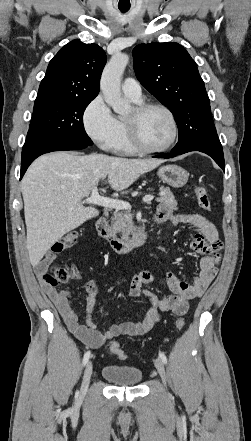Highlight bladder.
Here are the masks:
<instances>
[{
    "mask_svg": "<svg viewBox=\"0 0 251 441\" xmlns=\"http://www.w3.org/2000/svg\"><path fill=\"white\" fill-rule=\"evenodd\" d=\"M101 375L117 386H136L143 380V373L139 368L115 364L104 366Z\"/></svg>",
    "mask_w": 251,
    "mask_h": 441,
    "instance_id": "obj_1",
    "label": "bladder"
}]
</instances>
